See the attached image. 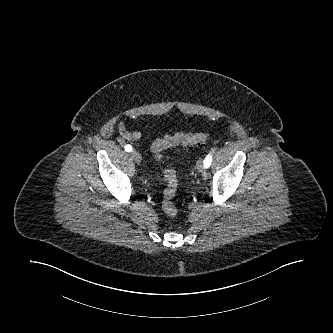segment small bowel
Segmentation results:
<instances>
[{
    "mask_svg": "<svg viewBox=\"0 0 333 333\" xmlns=\"http://www.w3.org/2000/svg\"><path fill=\"white\" fill-rule=\"evenodd\" d=\"M119 132L124 139L129 141H135L140 136V134L136 131H129L126 124L123 122L119 124Z\"/></svg>",
    "mask_w": 333,
    "mask_h": 333,
    "instance_id": "small-bowel-1",
    "label": "small bowel"
}]
</instances>
